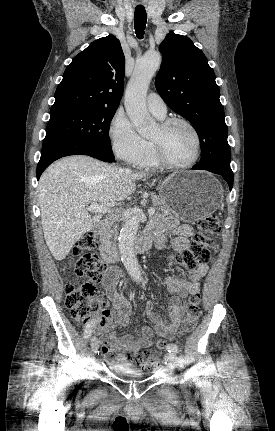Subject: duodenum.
<instances>
[{"instance_id": "obj_1", "label": "duodenum", "mask_w": 275, "mask_h": 431, "mask_svg": "<svg viewBox=\"0 0 275 431\" xmlns=\"http://www.w3.org/2000/svg\"><path fill=\"white\" fill-rule=\"evenodd\" d=\"M108 222L101 220L98 224V229L101 233H105L108 229ZM152 244V239L148 233L144 234L137 243V251L139 253L146 252ZM101 255L105 262L115 263L118 260V254L115 247L109 242H104L101 248Z\"/></svg>"}]
</instances>
